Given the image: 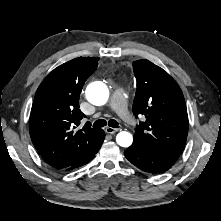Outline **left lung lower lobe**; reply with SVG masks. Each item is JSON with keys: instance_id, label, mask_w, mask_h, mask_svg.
Listing matches in <instances>:
<instances>
[{"instance_id": "obj_1", "label": "left lung lower lobe", "mask_w": 221, "mask_h": 221, "mask_svg": "<svg viewBox=\"0 0 221 221\" xmlns=\"http://www.w3.org/2000/svg\"><path fill=\"white\" fill-rule=\"evenodd\" d=\"M124 155L138 169L150 174L163 173L174 164L162 155L134 142L124 151Z\"/></svg>"}]
</instances>
